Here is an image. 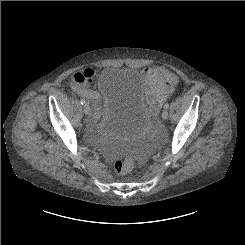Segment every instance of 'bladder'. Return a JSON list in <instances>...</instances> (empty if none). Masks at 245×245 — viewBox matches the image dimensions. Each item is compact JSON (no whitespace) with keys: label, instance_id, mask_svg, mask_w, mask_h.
Returning <instances> with one entry per match:
<instances>
[{"label":"bladder","instance_id":"bladder-1","mask_svg":"<svg viewBox=\"0 0 245 245\" xmlns=\"http://www.w3.org/2000/svg\"><path fill=\"white\" fill-rule=\"evenodd\" d=\"M99 92L104 106L94 122L99 137L133 141L145 132L150 111L136 69L115 65L106 67Z\"/></svg>","mask_w":245,"mask_h":245}]
</instances>
